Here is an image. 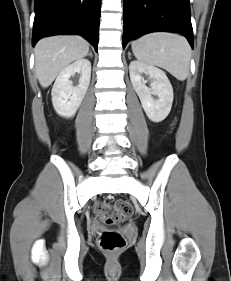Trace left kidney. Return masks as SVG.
Listing matches in <instances>:
<instances>
[{
    "mask_svg": "<svg viewBox=\"0 0 231 281\" xmlns=\"http://www.w3.org/2000/svg\"><path fill=\"white\" fill-rule=\"evenodd\" d=\"M129 74L148 118L153 122L163 121L170 113L173 102V88L164 71L140 61H132ZM143 74L149 76L151 88L146 86Z\"/></svg>",
    "mask_w": 231,
    "mask_h": 281,
    "instance_id": "5707ae66",
    "label": "left kidney"
}]
</instances>
